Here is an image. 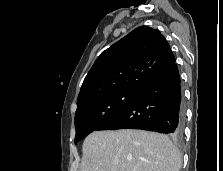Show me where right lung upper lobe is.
Masks as SVG:
<instances>
[{
	"label": "right lung upper lobe",
	"instance_id": "right-lung-upper-lobe-1",
	"mask_svg": "<svg viewBox=\"0 0 223 171\" xmlns=\"http://www.w3.org/2000/svg\"><path fill=\"white\" fill-rule=\"evenodd\" d=\"M174 63L165 37L156 29L140 26L96 59L82 84L77 109L110 93L139 92Z\"/></svg>",
	"mask_w": 223,
	"mask_h": 171
}]
</instances>
